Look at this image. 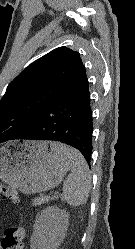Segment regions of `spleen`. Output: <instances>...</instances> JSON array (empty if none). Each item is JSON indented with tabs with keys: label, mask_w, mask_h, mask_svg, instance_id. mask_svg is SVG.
<instances>
[{
	"label": "spleen",
	"mask_w": 135,
	"mask_h": 249,
	"mask_svg": "<svg viewBox=\"0 0 135 249\" xmlns=\"http://www.w3.org/2000/svg\"><path fill=\"white\" fill-rule=\"evenodd\" d=\"M52 150L69 162L70 173L63 183V199L70 206H82L91 190V175L86 160L76 149L52 143Z\"/></svg>",
	"instance_id": "3e777b00"
}]
</instances>
